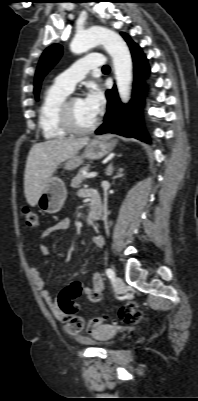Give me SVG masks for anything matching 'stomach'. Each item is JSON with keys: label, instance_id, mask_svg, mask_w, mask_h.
<instances>
[{"label": "stomach", "instance_id": "stomach-1", "mask_svg": "<svg viewBox=\"0 0 198 401\" xmlns=\"http://www.w3.org/2000/svg\"><path fill=\"white\" fill-rule=\"evenodd\" d=\"M117 140L111 137H96L90 140L81 155H74L64 164V169L74 170L84 159H100L107 155L116 145ZM67 198V189L64 182L58 177H51L46 188L38 199V207L46 213L59 212Z\"/></svg>", "mask_w": 198, "mask_h": 401}]
</instances>
